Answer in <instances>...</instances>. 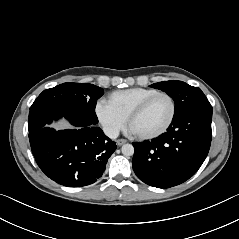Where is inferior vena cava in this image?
Returning a JSON list of instances; mask_svg holds the SVG:
<instances>
[{"label": "inferior vena cava", "instance_id": "1", "mask_svg": "<svg viewBox=\"0 0 239 239\" xmlns=\"http://www.w3.org/2000/svg\"><path fill=\"white\" fill-rule=\"evenodd\" d=\"M103 132L110 139H116L119 136L118 128L112 125H104Z\"/></svg>", "mask_w": 239, "mask_h": 239}]
</instances>
